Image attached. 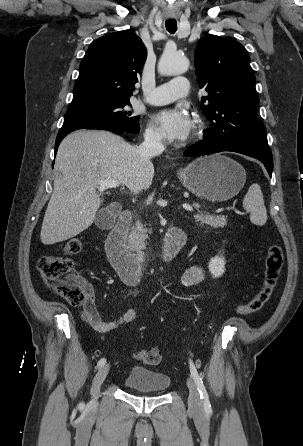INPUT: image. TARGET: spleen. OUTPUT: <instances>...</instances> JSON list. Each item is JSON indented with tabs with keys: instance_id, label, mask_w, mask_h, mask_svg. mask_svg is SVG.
Masks as SVG:
<instances>
[{
	"instance_id": "1",
	"label": "spleen",
	"mask_w": 303,
	"mask_h": 446,
	"mask_svg": "<svg viewBox=\"0 0 303 446\" xmlns=\"http://www.w3.org/2000/svg\"><path fill=\"white\" fill-rule=\"evenodd\" d=\"M244 209L250 213L253 224L262 226L267 221V212L264 205L263 194L258 184H252L243 199Z\"/></svg>"
}]
</instances>
